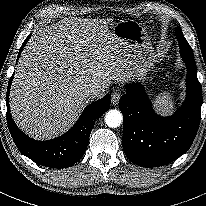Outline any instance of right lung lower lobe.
Listing matches in <instances>:
<instances>
[{"mask_svg": "<svg viewBox=\"0 0 206 206\" xmlns=\"http://www.w3.org/2000/svg\"><path fill=\"white\" fill-rule=\"evenodd\" d=\"M30 36L22 44L18 58ZM12 79L13 75L7 88V123L11 136L20 152L35 163L50 168H66L75 164L86 151L89 136L96 119L109 110L110 94L91 103L82 112L75 125L62 136L47 141H37L24 134L12 119L9 108V92Z\"/></svg>", "mask_w": 206, "mask_h": 206, "instance_id": "1", "label": "right lung lower lobe"}]
</instances>
